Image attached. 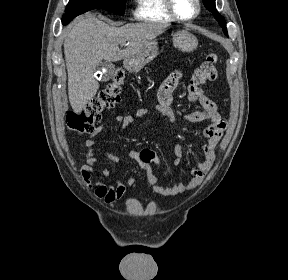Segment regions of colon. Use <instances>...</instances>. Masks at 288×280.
<instances>
[{
	"label": "colon",
	"mask_w": 288,
	"mask_h": 280,
	"mask_svg": "<svg viewBox=\"0 0 288 280\" xmlns=\"http://www.w3.org/2000/svg\"><path fill=\"white\" fill-rule=\"evenodd\" d=\"M218 58L215 54L209 55L195 70L192 81L196 85H203L217 78ZM124 82V73L117 70L112 82L96 97L92 98L80 112H69L66 123L70 130L79 134L92 133L95 124L100 120L105 109L114 107L120 101V86Z\"/></svg>",
	"instance_id": "1"
}]
</instances>
